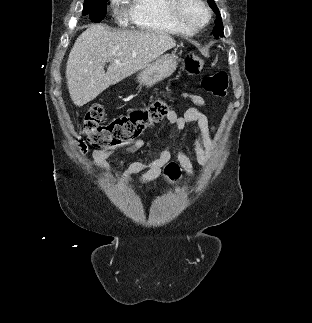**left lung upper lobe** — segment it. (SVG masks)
<instances>
[{
    "label": "left lung upper lobe",
    "instance_id": "5c2ea615",
    "mask_svg": "<svg viewBox=\"0 0 312 323\" xmlns=\"http://www.w3.org/2000/svg\"><path fill=\"white\" fill-rule=\"evenodd\" d=\"M208 3H209V6L211 7V9L216 13L218 14V18L216 19L215 21V28H214V31H213V35L218 38V37H223L224 36V33H223V24H222V19H221V16H220V12L217 8V5L216 3L214 2V0H207Z\"/></svg>",
    "mask_w": 312,
    "mask_h": 323
}]
</instances>
